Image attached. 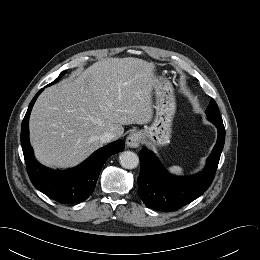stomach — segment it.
I'll return each mask as SVG.
<instances>
[{"instance_id":"stomach-1","label":"stomach","mask_w":260,"mask_h":260,"mask_svg":"<svg viewBox=\"0 0 260 260\" xmlns=\"http://www.w3.org/2000/svg\"><path fill=\"white\" fill-rule=\"evenodd\" d=\"M154 122L140 133L144 141L153 149L170 143L172 121L176 111V100L172 83L163 76H155Z\"/></svg>"}]
</instances>
